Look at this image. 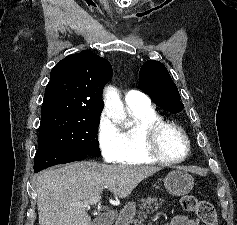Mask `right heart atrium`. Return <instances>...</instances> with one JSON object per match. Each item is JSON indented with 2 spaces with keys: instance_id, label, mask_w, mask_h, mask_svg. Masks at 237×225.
Returning a JSON list of instances; mask_svg holds the SVG:
<instances>
[{
  "instance_id": "right-heart-atrium-1",
  "label": "right heart atrium",
  "mask_w": 237,
  "mask_h": 225,
  "mask_svg": "<svg viewBox=\"0 0 237 225\" xmlns=\"http://www.w3.org/2000/svg\"><path fill=\"white\" fill-rule=\"evenodd\" d=\"M96 137L104 160L120 162L125 152L123 132L105 112L98 119Z\"/></svg>"
}]
</instances>
